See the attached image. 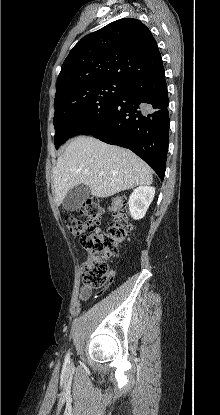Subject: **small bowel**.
<instances>
[{"mask_svg":"<svg viewBox=\"0 0 220 415\" xmlns=\"http://www.w3.org/2000/svg\"><path fill=\"white\" fill-rule=\"evenodd\" d=\"M92 290L89 287H82L79 292V298L83 301L91 296Z\"/></svg>","mask_w":220,"mask_h":415,"instance_id":"c3829d8e","label":"small bowel"}]
</instances>
